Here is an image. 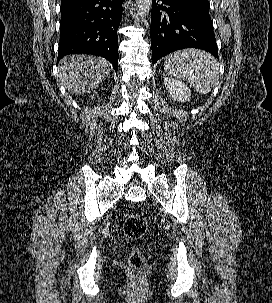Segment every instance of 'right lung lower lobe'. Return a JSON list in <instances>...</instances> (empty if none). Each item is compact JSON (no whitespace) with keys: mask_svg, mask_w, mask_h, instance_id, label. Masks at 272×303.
Masks as SVG:
<instances>
[{"mask_svg":"<svg viewBox=\"0 0 272 303\" xmlns=\"http://www.w3.org/2000/svg\"><path fill=\"white\" fill-rule=\"evenodd\" d=\"M124 0H81L61 8L59 60L68 54H93L117 72L118 35Z\"/></svg>","mask_w":272,"mask_h":303,"instance_id":"1","label":"right lung lower lobe"}]
</instances>
